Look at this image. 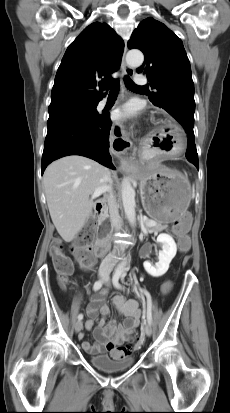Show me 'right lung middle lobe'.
Wrapping results in <instances>:
<instances>
[{"instance_id":"1","label":"right lung middle lobe","mask_w":230,"mask_h":413,"mask_svg":"<svg viewBox=\"0 0 230 413\" xmlns=\"http://www.w3.org/2000/svg\"><path fill=\"white\" fill-rule=\"evenodd\" d=\"M96 103L86 104H62L54 107H49V119L47 123H50L56 119L72 117V116H97Z\"/></svg>"}]
</instances>
